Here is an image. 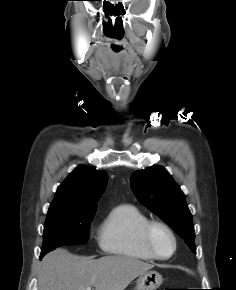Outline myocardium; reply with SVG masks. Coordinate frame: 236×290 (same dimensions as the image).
<instances>
[{
  "instance_id": "obj_1",
  "label": "myocardium",
  "mask_w": 236,
  "mask_h": 290,
  "mask_svg": "<svg viewBox=\"0 0 236 290\" xmlns=\"http://www.w3.org/2000/svg\"><path fill=\"white\" fill-rule=\"evenodd\" d=\"M162 229L164 230L171 238L173 242V249L169 255L163 256L160 255L154 247L153 244V233L155 229ZM141 238L146 251L157 260H167L173 257V255L177 251V237L173 229L166 224L165 222L159 220H149L142 229Z\"/></svg>"
}]
</instances>
